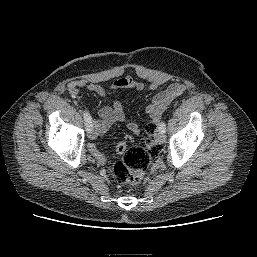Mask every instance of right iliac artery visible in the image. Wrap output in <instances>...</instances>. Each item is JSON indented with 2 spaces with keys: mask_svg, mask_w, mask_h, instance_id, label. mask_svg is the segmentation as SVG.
I'll list each match as a JSON object with an SVG mask.
<instances>
[{
  "mask_svg": "<svg viewBox=\"0 0 257 257\" xmlns=\"http://www.w3.org/2000/svg\"><path fill=\"white\" fill-rule=\"evenodd\" d=\"M83 116H84V121H85V125H86V130L90 131L93 128L92 118H91L89 112H87L86 110L83 111Z\"/></svg>",
  "mask_w": 257,
  "mask_h": 257,
  "instance_id": "right-iliac-artery-1",
  "label": "right iliac artery"
}]
</instances>
